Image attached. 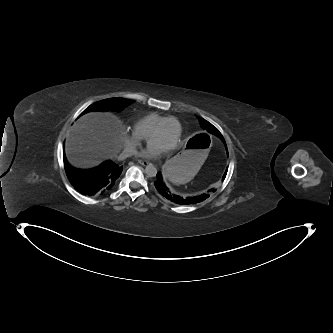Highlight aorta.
<instances>
[{"instance_id":"obj_1","label":"aorta","mask_w":333,"mask_h":333,"mask_svg":"<svg viewBox=\"0 0 333 333\" xmlns=\"http://www.w3.org/2000/svg\"><path fill=\"white\" fill-rule=\"evenodd\" d=\"M146 174L149 177H155L157 174V169L152 164H148L145 169Z\"/></svg>"}]
</instances>
